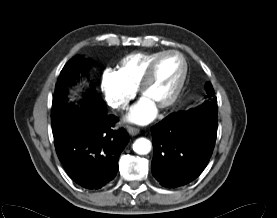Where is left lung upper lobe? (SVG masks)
<instances>
[{
	"label": "left lung upper lobe",
	"mask_w": 277,
	"mask_h": 218,
	"mask_svg": "<svg viewBox=\"0 0 277 218\" xmlns=\"http://www.w3.org/2000/svg\"><path fill=\"white\" fill-rule=\"evenodd\" d=\"M205 90H206V93H207L205 98L207 100L204 102V104H214V105H217V99H216V96H215L212 84L211 83H206Z\"/></svg>",
	"instance_id": "1"
}]
</instances>
